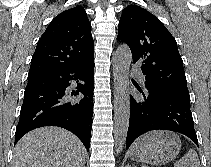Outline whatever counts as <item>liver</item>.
I'll return each instance as SVG.
<instances>
[{"label": "liver", "mask_w": 211, "mask_h": 167, "mask_svg": "<svg viewBox=\"0 0 211 167\" xmlns=\"http://www.w3.org/2000/svg\"><path fill=\"white\" fill-rule=\"evenodd\" d=\"M85 154L83 144L71 132L42 127L18 141L11 167H83Z\"/></svg>", "instance_id": "liver-1"}]
</instances>
